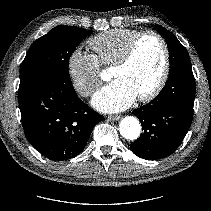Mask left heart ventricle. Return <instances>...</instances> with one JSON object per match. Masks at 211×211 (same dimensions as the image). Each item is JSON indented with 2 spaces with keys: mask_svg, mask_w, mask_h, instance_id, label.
<instances>
[{
  "mask_svg": "<svg viewBox=\"0 0 211 211\" xmlns=\"http://www.w3.org/2000/svg\"><path fill=\"white\" fill-rule=\"evenodd\" d=\"M162 67V46L157 39L148 36L141 40L133 60L126 67L111 71V78L124 81L138 97L155 86Z\"/></svg>",
  "mask_w": 211,
  "mask_h": 211,
  "instance_id": "obj_1",
  "label": "left heart ventricle"
}]
</instances>
